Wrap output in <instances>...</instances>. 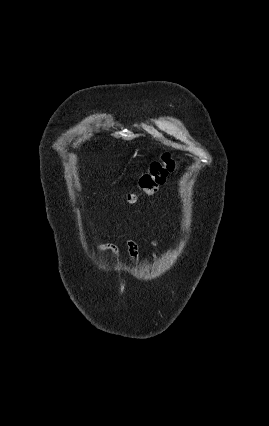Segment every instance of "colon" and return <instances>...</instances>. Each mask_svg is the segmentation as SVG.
<instances>
[{
	"mask_svg": "<svg viewBox=\"0 0 269 426\" xmlns=\"http://www.w3.org/2000/svg\"><path fill=\"white\" fill-rule=\"evenodd\" d=\"M177 159L170 154H164L160 160L151 163L149 172L139 179V193L131 194L130 202L136 201L138 195L154 194L166 181L167 176L174 170Z\"/></svg>",
	"mask_w": 269,
	"mask_h": 426,
	"instance_id": "colon-1",
	"label": "colon"
}]
</instances>
